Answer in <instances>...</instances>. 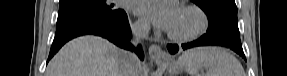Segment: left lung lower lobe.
Returning a JSON list of instances; mask_svg holds the SVG:
<instances>
[{"label": "left lung lower lobe", "mask_w": 287, "mask_h": 76, "mask_svg": "<svg viewBox=\"0 0 287 76\" xmlns=\"http://www.w3.org/2000/svg\"><path fill=\"white\" fill-rule=\"evenodd\" d=\"M206 45H220V46L231 48L232 50H234L236 53H238L240 56H242L246 60L243 49H242L241 41L240 42L231 41L225 38L216 37L209 33L204 34L199 39L191 43L182 44L181 47L185 50V49L196 47V46H206ZM167 48L171 54H175L178 52L180 46L176 44H168Z\"/></svg>", "instance_id": "left-lung-lower-lobe-1"}]
</instances>
